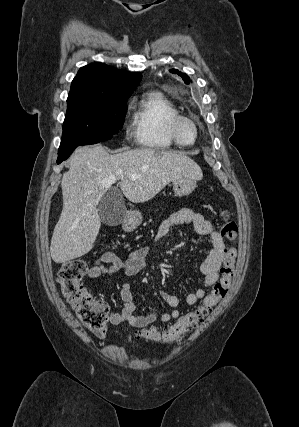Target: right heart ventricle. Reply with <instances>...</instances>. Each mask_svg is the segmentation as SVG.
I'll list each match as a JSON object with an SVG mask.
<instances>
[{"mask_svg":"<svg viewBox=\"0 0 299 427\" xmlns=\"http://www.w3.org/2000/svg\"><path fill=\"white\" fill-rule=\"evenodd\" d=\"M132 108V136L138 146L158 151L175 146L167 125L179 111L167 96L157 90L147 91Z\"/></svg>","mask_w":299,"mask_h":427,"instance_id":"1","label":"right heart ventricle"}]
</instances>
